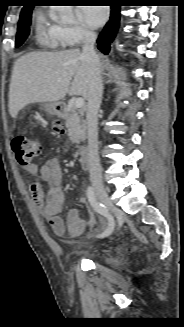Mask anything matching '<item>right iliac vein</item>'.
<instances>
[{
	"label": "right iliac vein",
	"instance_id": "1",
	"mask_svg": "<svg viewBox=\"0 0 184 327\" xmlns=\"http://www.w3.org/2000/svg\"><path fill=\"white\" fill-rule=\"evenodd\" d=\"M93 189L95 194L97 195L98 199L110 210L114 209V206L109 198L107 190L105 189L104 185L101 181H94L93 182Z\"/></svg>",
	"mask_w": 184,
	"mask_h": 327
}]
</instances>
